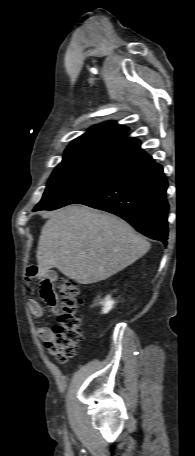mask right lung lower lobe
I'll list each match as a JSON object with an SVG mask.
<instances>
[{
    "label": "right lung lower lobe",
    "instance_id": "obj_1",
    "mask_svg": "<svg viewBox=\"0 0 195 456\" xmlns=\"http://www.w3.org/2000/svg\"><path fill=\"white\" fill-rule=\"evenodd\" d=\"M167 186L162 166L148 156L125 168L106 185L76 203L113 213L145 236L166 244Z\"/></svg>",
    "mask_w": 195,
    "mask_h": 456
}]
</instances>
